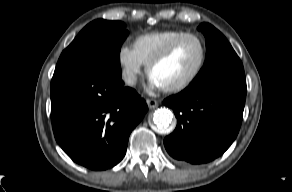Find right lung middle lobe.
I'll list each match as a JSON object with an SVG mask.
<instances>
[{
	"label": "right lung middle lobe",
	"instance_id": "dd1d6c3e",
	"mask_svg": "<svg viewBox=\"0 0 292 192\" xmlns=\"http://www.w3.org/2000/svg\"><path fill=\"white\" fill-rule=\"evenodd\" d=\"M127 35L121 21L94 20L62 52L57 65H91L121 76L119 54Z\"/></svg>",
	"mask_w": 292,
	"mask_h": 192
}]
</instances>
